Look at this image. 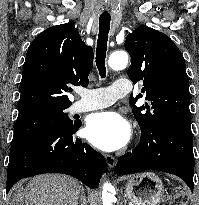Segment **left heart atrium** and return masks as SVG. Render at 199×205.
<instances>
[{
  "label": "left heart atrium",
  "mask_w": 199,
  "mask_h": 205,
  "mask_svg": "<svg viewBox=\"0 0 199 205\" xmlns=\"http://www.w3.org/2000/svg\"><path fill=\"white\" fill-rule=\"evenodd\" d=\"M130 136L129 122L112 111L91 115L85 127V137L88 141L105 151L120 149L129 141Z\"/></svg>",
  "instance_id": "39dd6f15"
}]
</instances>
